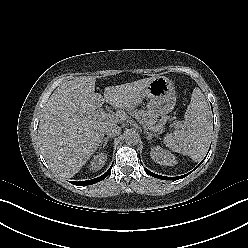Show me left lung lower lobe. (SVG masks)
<instances>
[{
  "label": "left lung lower lobe",
  "mask_w": 248,
  "mask_h": 248,
  "mask_svg": "<svg viewBox=\"0 0 248 248\" xmlns=\"http://www.w3.org/2000/svg\"><path fill=\"white\" fill-rule=\"evenodd\" d=\"M144 170L151 176L155 177V178H159V179H163V180H178L181 178H184L185 176H187L188 174L182 175V176H177V177H166V176H161V175H157L154 174L153 172L149 171L148 169L144 168Z\"/></svg>",
  "instance_id": "1"
}]
</instances>
